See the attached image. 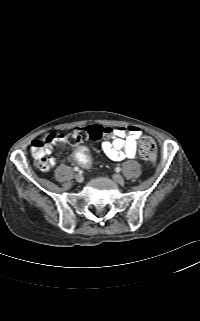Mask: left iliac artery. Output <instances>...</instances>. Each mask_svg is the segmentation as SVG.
I'll list each match as a JSON object with an SVG mask.
<instances>
[{"label": "left iliac artery", "mask_w": 200, "mask_h": 321, "mask_svg": "<svg viewBox=\"0 0 200 321\" xmlns=\"http://www.w3.org/2000/svg\"><path fill=\"white\" fill-rule=\"evenodd\" d=\"M116 172H120L121 171V168L120 167H116Z\"/></svg>", "instance_id": "obj_1"}]
</instances>
